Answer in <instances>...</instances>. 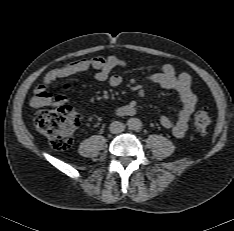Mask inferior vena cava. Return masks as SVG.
Here are the masks:
<instances>
[{"label": "inferior vena cava", "mask_w": 234, "mask_h": 231, "mask_svg": "<svg viewBox=\"0 0 234 231\" xmlns=\"http://www.w3.org/2000/svg\"><path fill=\"white\" fill-rule=\"evenodd\" d=\"M110 132L113 134H119L124 131L125 125L122 122L114 121L110 124Z\"/></svg>", "instance_id": "inferior-vena-cava-1"}]
</instances>
